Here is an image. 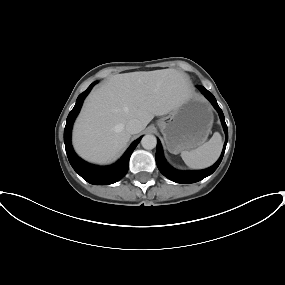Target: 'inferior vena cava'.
<instances>
[{
    "instance_id": "obj_1",
    "label": "inferior vena cava",
    "mask_w": 285,
    "mask_h": 285,
    "mask_svg": "<svg viewBox=\"0 0 285 285\" xmlns=\"http://www.w3.org/2000/svg\"><path fill=\"white\" fill-rule=\"evenodd\" d=\"M126 130L130 134H137L142 130V126L139 120L132 119L126 124Z\"/></svg>"
}]
</instances>
